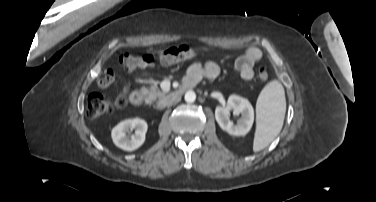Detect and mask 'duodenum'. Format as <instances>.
Here are the masks:
<instances>
[{
	"instance_id": "obj_1",
	"label": "duodenum",
	"mask_w": 376,
	"mask_h": 202,
	"mask_svg": "<svg viewBox=\"0 0 376 202\" xmlns=\"http://www.w3.org/2000/svg\"><path fill=\"white\" fill-rule=\"evenodd\" d=\"M192 85L184 83L180 88H178L176 91L173 92V94L170 96H165L161 99V104L165 105L168 102L171 101V99H178L180 98L186 90H188ZM129 102L132 106L138 107L143 103V94L138 91L134 90L129 95Z\"/></svg>"
}]
</instances>
